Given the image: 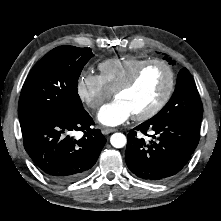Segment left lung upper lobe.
Listing matches in <instances>:
<instances>
[{
	"mask_svg": "<svg viewBox=\"0 0 221 221\" xmlns=\"http://www.w3.org/2000/svg\"><path fill=\"white\" fill-rule=\"evenodd\" d=\"M170 62L172 63L171 59ZM159 115L177 117L200 128L203 115L202 102L193 77L186 68H182L178 73L176 88L171 99L154 117Z\"/></svg>",
	"mask_w": 221,
	"mask_h": 221,
	"instance_id": "1",
	"label": "left lung upper lobe"
}]
</instances>
